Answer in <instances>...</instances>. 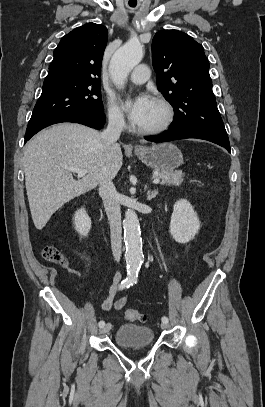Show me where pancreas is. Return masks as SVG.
<instances>
[{"mask_svg": "<svg viewBox=\"0 0 265 407\" xmlns=\"http://www.w3.org/2000/svg\"><path fill=\"white\" fill-rule=\"evenodd\" d=\"M155 178L161 179L162 185H175L179 186L183 182L184 173L182 171H161Z\"/></svg>", "mask_w": 265, "mask_h": 407, "instance_id": "1", "label": "pancreas"}]
</instances>
